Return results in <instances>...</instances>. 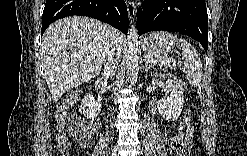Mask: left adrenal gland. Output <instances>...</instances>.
<instances>
[{"instance_id":"obj_1","label":"left adrenal gland","mask_w":247,"mask_h":156,"mask_svg":"<svg viewBox=\"0 0 247 156\" xmlns=\"http://www.w3.org/2000/svg\"><path fill=\"white\" fill-rule=\"evenodd\" d=\"M144 62H145V69L148 70L150 69L152 66V64H149V61L147 60V58H144Z\"/></svg>"}]
</instances>
